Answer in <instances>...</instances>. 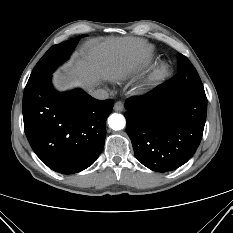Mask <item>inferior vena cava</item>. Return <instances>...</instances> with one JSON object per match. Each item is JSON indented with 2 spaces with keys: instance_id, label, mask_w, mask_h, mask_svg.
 <instances>
[{
  "instance_id": "1",
  "label": "inferior vena cava",
  "mask_w": 233,
  "mask_h": 233,
  "mask_svg": "<svg viewBox=\"0 0 233 233\" xmlns=\"http://www.w3.org/2000/svg\"><path fill=\"white\" fill-rule=\"evenodd\" d=\"M92 96L96 99L104 100L109 97V94L104 89H97L92 92Z\"/></svg>"
}]
</instances>
